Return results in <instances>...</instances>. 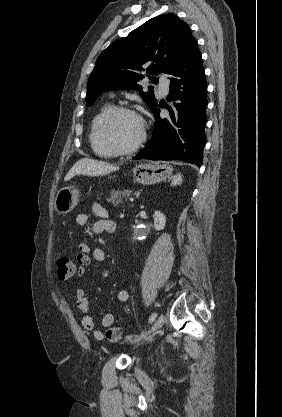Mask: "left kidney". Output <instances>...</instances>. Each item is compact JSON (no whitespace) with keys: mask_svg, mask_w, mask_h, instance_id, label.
Wrapping results in <instances>:
<instances>
[{"mask_svg":"<svg viewBox=\"0 0 282 417\" xmlns=\"http://www.w3.org/2000/svg\"><path fill=\"white\" fill-rule=\"evenodd\" d=\"M154 227L156 231H163L166 223V217L161 211H155L154 215Z\"/></svg>","mask_w":282,"mask_h":417,"instance_id":"left-kidney-1","label":"left kidney"}]
</instances>
